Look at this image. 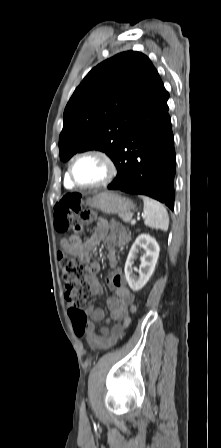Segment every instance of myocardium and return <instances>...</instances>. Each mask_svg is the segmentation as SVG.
Wrapping results in <instances>:
<instances>
[{"label":"myocardium","instance_id":"obj_1","mask_svg":"<svg viewBox=\"0 0 221 448\" xmlns=\"http://www.w3.org/2000/svg\"><path fill=\"white\" fill-rule=\"evenodd\" d=\"M84 156H96L104 161V163L108 169V174L104 180H102L101 182L95 183V184H82L79 181H77V179L74 176V167H75L76 162ZM117 173H118V168H117V165H116L115 161L113 160V158L108 153H106L102 150H98V149H91V150H87V151H84V152L78 154L77 156H75L73 158V160L68 168V177H69L70 182L74 186L83 188V189H95V188H101V187L108 186L109 184H111L114 181V179L117 176Z\"/></svg>","mask_w":221,"mask_h":448}]
</instances>
